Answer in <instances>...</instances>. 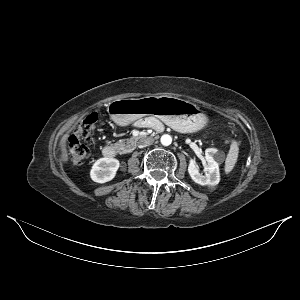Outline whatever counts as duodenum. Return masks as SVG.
<instances>
[{
	"label": "duodenum",
	"mask_w": 300,
	"mask_h": 300,
	"mask_svg": "<svg viewBox=\"0 0 300 300\" xmlns=\"http://www.w3.org/2000/svg\"><path fill=\"white\" fill-rule=\"evenodd\" d=\"M102 154L109 159L115 158L118 155V148L115 145H106L102 149Z\"/></svg>",
	"instance_id": "duodenum-1"
}]
</instances>
